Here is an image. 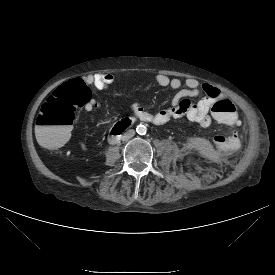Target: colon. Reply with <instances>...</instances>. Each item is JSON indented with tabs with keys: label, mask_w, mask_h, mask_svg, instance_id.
<instances>
[{
	"label": "colon",
	"mask_w": 275,
	"mask_h": 275,
	"mask_svg": "<svg viewBox=\"0 0 275 275\" xmlns=\"http://www.w3.org/2000/svg\"><path fill=\"white\" fill-rule=\"evenodd\" d=\"M89 101L90 92L84 81L76 79L60 85L42 105L37 116L36 134L39 143L47 149L61 145L71 132L75 112L88 105ZM212 111L216 117L225 121L237 116L235 105L226 98L216 99Z\"/></svg>",
	"instance_id": "5ec220e1"
}]
</instances>
